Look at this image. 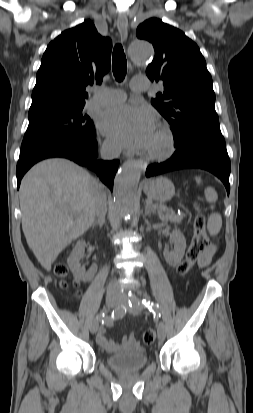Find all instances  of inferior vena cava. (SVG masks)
<instances>
[{"mask_svg":"<svg viewBox=\"0 0 253 413\" xmlns=\"http://www.w3.org/2000/svg\"><path fill=\"white\" fill-rule=\"evenodd\" d=\"M120 149L112 145H104L100 154L102 159L111 160L118 157ZM107 212V201L106 193L102 184H100L99 189L96 194V216L98 220L105 219V214ZM119 287L116 281H111L108 286V291H118Z\"/></svg>","mask_w":253,"mask_h":413,"instance_id":"602c4592","label":"inferior vena cava"}]
</instances>
